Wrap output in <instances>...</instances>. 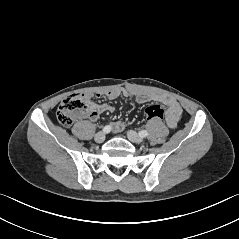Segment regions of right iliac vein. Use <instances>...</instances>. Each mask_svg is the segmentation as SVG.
<instances>
[{
  "label": "right iliac vein",
  "mask_w": 239,
  "mask_h": 239,
  "mask_svg": "<svg viewBox=\"0 0 239 239\" xmlns=\"http://www.w3.org/2000/svg\"><path fill=\"white\" fill-rule=\"evenodd\" d=\"M95 141L97 143H102L105 140V133L104 132H98L95 137H94Z\"/></svg>",
  "instance_id": "obj_1"
}]
</instances>
